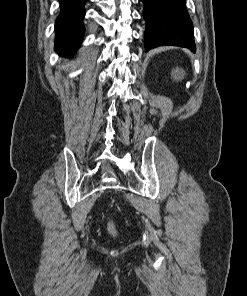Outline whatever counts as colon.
Listing matches in <instances>:
<instances>
[{"instance_id": "colon-1", "label": "colon", "mask_w": 247, "mask_h": 296, "mask_svg": "<svg viewBox=\"0 0 247 296\" xmlns=\"http://www.w3.org/2000/svg\"><path fill=\"white\" fill-rule=\"evenodd\" d=\"M109 230H110L111 232H115V228H114V226H113L112 224L109 225Z\"/></svg>"}]
</instances>
